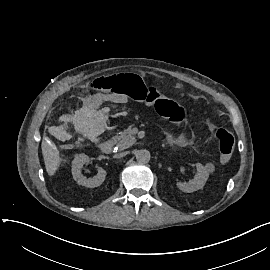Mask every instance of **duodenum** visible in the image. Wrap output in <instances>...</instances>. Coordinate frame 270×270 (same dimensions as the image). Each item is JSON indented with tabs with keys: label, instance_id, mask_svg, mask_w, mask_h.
<instances>
[{
	"label": "duodenum",
	"instance_id": "obj_1",
	"mask_svg": "<svg viewBox=\"0 0 270 270\" xmlns=\"http://www.w3.org/2000/svg\"><path fill=\"white\" fill-rule=\"evenodd\" d=\"M113 149V141L105 140L100 144V150L105 153L109 154Z\"/></svg>",
	"mask_w": 270,
	"mask_h": 270
}]
</instances>
